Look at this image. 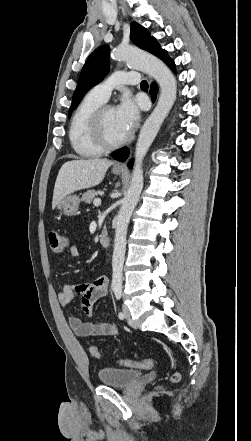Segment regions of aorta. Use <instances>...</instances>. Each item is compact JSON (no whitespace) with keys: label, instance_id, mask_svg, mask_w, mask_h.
Returning a JSON list of instances; mask_svg holds the SVG:
<instances>
[{"label":"aorta","instance_id":"aorta-1","mask_svg":"<svg viewBox=\"0 0 251 441\" xmlns=\"http://www.w3.org/2000/svg\"><path fill=\"white\" fill-rule=\"evenodd\" d=\"M111 57L114 60L125 61L131 68L139 69L147 73L153 77L160 86L158 103L141 128L135 149V163L132 171L131 184L117 215L112 258V289L120 290L122 288L127 228L143 188L142 163L164 119L174 105L177 93V82L174 75L160 59L135 48L118 47L113 50Z\"/></svg>","mask_w":251,"mask_h":441}]
</instances>
